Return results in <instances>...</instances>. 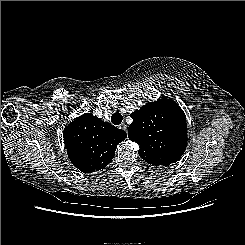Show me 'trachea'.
Masks as SVG:
<instances>
[{
    "mask_svg": "<svg viewBox=\"0 0 245 245\" xmlns=\"http://www.w3.org/2000/svg\"><path fill=\"white\" fill-rule=\"evenodd\" d=\"M122 119H123V118H122V115H121L120 113H118V112L112 114V116H111V121H112V123H113L114 125H119V124H121Z\"/></svg>",
    "mask_w": 245,
    "mask_h": 245,
    "instance_id": "3493384b",
    "label": "trachea"
}]
</instances>
